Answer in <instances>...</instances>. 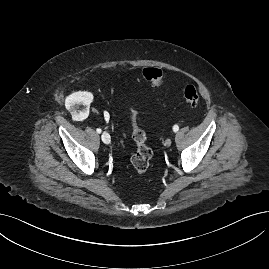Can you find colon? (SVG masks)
<instances>
[{"label":"colon","mask_w":269,"mask_h":269,"mask_svg":"<svg viewBox=\"0 0 269 269\" xmlns=\"http://www.w3.org/2000/svg\"><path fill=\"white\" fill-rule=\"evenodd\" d=\"M143 76L156 86L163 84V73L158 68H145ZM184 99L188 106L194 107L199 101V94L195 86L188 85L184 89ZM130 118L133 126L132 138L136 145V151L131 158V163L134 170L138 174H144L150 166L152 158V150L147 145V137L145 131L137 123V114L135 111H130Z\"/></svg>","instance_id":"1"}]
</instances>
